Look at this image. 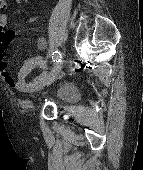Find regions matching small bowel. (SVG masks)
<instances>
[{"instance_id":"c3829d8e","label":"small bowel","mask_w":143,"mask_h":170,"mask_svg":"<svg viewBox=\"0 0 143 170\" xmlns=\"http://www.w3.org/2000/svg\"><path fill=\"white\" fill-rule=\"evenodd\" d=\"M20 2L21 0H15ZM9 25V16L0 13V74L2 75L4 82L11 88H15L22 92H33L39 90L45 85L47 78L48 63L42 56H33L24 61L20 67L16 78H14L8 69V65L4 60V47L11 43L19 34L15 31H9L7 29ZM47 46L45 38H39L37 40V47L40 50H44ZM35 70H40L41 73L34 77L32 80H28L29 76Z\"/></svg>"}]
</instances>
